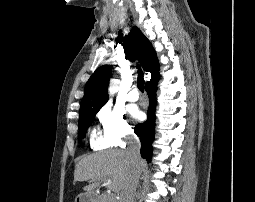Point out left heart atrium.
Returning <instances> with one entry per match:
<instances>
[{"instance_id":"1","label":"left heart atrium","mask_w":255,"mask_h":202,"mask_svg":"<svg viewBox=\"0 0 255 202\" xmlns=\"http://www.w3.org/2000/svg\"><path fill=\"white\" fill-rule=\"evenodd\" d=\"M131 113L135 118H139L141 116V113L136 108L132 109Z\"/></svg>"}]
</instances>
